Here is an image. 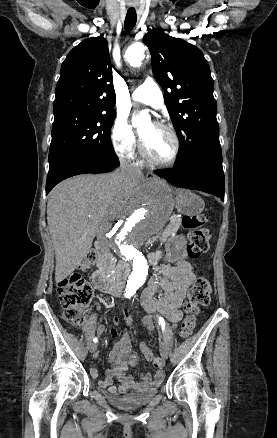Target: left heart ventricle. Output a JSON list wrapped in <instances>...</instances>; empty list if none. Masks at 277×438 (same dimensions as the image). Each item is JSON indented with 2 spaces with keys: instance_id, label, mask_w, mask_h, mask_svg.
Returning a JSON list of instances; mask_svg holds the SVG:
<instances>
[{
  "instance_id": "b2bd125f",
  "label": "left heart ventricle",
  "mask_w": 277,
  "mask_h": 438,
  "mask_svg": "<svg viewBox=\"0 0 277 438\" xmlns=\"http://www.w3.org/2000/svg\"><path fill=\"white\" fill-rule=\"evenodd\" d=\"M139 134L153 157L160 161L171 159L174 152V142L169 134L151 122L145 124L139 130Z\"/></svg>"
}]
</instances>
